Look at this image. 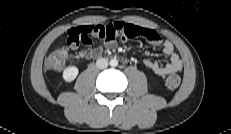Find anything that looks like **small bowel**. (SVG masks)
Listing matches in <instances>:
<instances>
[{
  "label": "small bowel",
  "mask_w": 231,
  "mask_h": 134,
  "mask_svg": "<svg viewBox=\"0 0 231 134\" xmlns=\"http://www.w3.org/2000/svg\"><path fill=\"white\" fill-rule=\"evenodd\" d=\"M118 36L123 40L143 37L153 44L162 46L163 52L169 56V61L166 64H159L152 59L144 60L145 66L156 75L166 76L182 70V60L171 41L164 40L155 30L126 22L117 21L106 25L96 24L73 27L67 32L66 43L71 50H76L80 44L89 46L93 39L99 38L103 41L106 49H113L116 47V38ZM100 53V49L87 47L80 52V57L93 58L100 55Z\"/></svg>",
  "instance_id": "small-bowel-1"
}]
</instances>
